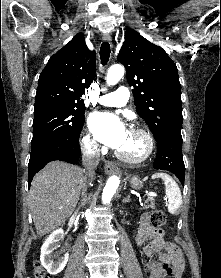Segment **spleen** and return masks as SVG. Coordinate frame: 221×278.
<instances>
[{"instance_id": "obj_1", "label": "spleen", "mask_w": 221, "mask_h": 278, "mask_svg": "<svg viewBox=\"0 0 221 278\" xmlns=\"http://www.w3.org/2000/svg\"><path fill=\"white\" fill-rule=\"evenodd\" d=\"M153 179L161 178L165 185V194L168 198V212L176 215L182 205V195L177 183L166 173H155L152 175ZM144 178V180H146Z\"/></svg>"}]
</instances>
